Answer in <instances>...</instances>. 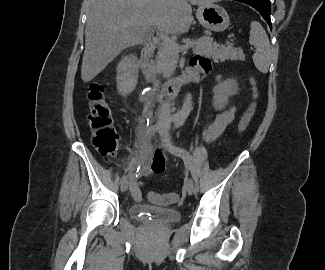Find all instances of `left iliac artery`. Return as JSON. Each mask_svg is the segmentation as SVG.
<instances>
[{"instance_id":"1","label":"left iliac artery","mask_w":325,"mask_h":270,"mask_svg":"<svg viewBox=\"0 0 325 270\" xmlns=\"http://www.w3.org/2000/svg\"><path fill=\"white\" fill-rule=\"evenodd\" d=\"M179 126H181V122H176L175 128H178ZM174 150L176 153H178L183 158V160L189 166V168L191 170L192 177L195 181V193H197L199 191L198 178L196 175V171L194 168L193 159H192L191 154L186 149L177 147V146H174Z\"/></svg>"}]
</instances>
